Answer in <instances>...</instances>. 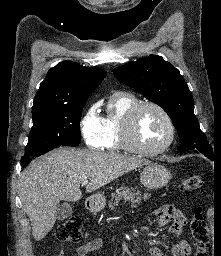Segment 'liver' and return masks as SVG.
Returning a JSON list of instances; mask_svg holds the SVG:
<instances>
[{"label":"liver","mask_w":221,"mask_h":256,"mask_svg":"<svg viewBox=\"0 0 221 256\" xmlns=\"http://www.w3.org/2000/svg\"><path fill=\"white\" fill-rule=\"evenodd\" d=\"M150 163L140 157L67 147L33 160L21 173L19 195L34 239L40 241L53 228L61 200L75 202L82 198L83 180H90L86 192L91 193Z\"/></svg>","instance_id":"6515ba94"}]
</instances>
